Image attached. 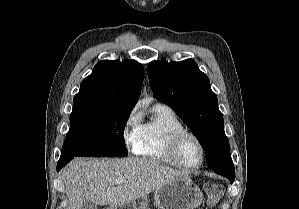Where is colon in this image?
Segmentation results:
<instances>
[{"instance_id": "1", "label": "colon", "mask_w": 299, "mask_h": 209, "mask_svg": "<svg viewBox=\"0 0 299 209\" xmlns=\"http://www.w3.org/2000/svg\"><path fill=\"white\" fill-rule=\"evenodd\" d=\"M207 201L210 205L216 204L224 195L225 187L218 183H206L204 186Z\"/></svg>"}]
</instances>
